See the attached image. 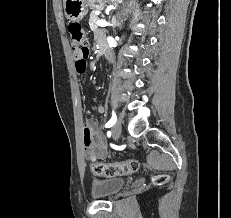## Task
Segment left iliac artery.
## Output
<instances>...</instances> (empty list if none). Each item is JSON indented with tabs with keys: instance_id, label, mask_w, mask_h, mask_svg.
I'll return each instance as SVG.
<instances>
[{
	"instance_id": "44dca946",
	"label": "left iliac artery",
	"mask_w": 231,
	"mask_h": 218,
	"mask_svg": "<svg viewBox=\"0 0 231 218\" xmlns=\"http://www.w3.org/2000/svg\"><path fill=\"white\" fill-rule=\"evenodd\" d=\"M116 120H117L116 114H115V112L113 111V112H112V118L105 124V127L108 128V127L113 126V125L116 123Z\"/></svg>"
}]
</instances>
